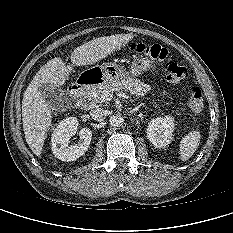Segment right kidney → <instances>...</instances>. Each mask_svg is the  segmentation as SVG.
<instances>
[{
	"instance_id": "1",
	"label": "right kidney",
	"mask_w": 233,
	"mask_h": 233,
	"mask_svg": "<svg viewBox=\"0 0 233 233\" xmlns=\"http://www.w3.org/2000/svg\"><path fill=\"white\" fill-rule=\"evenodd\" d=\"M78 129V120L69 117L59 122L51 137L52 151L55 157L62 161H75L83 156L91 143L92 132L85 127L79 130V141L77 144L69 145L70 138Z\"/></svg>"
}]
</instances>
